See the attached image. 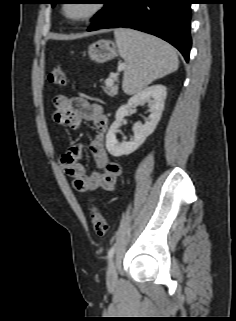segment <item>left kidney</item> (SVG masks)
Segmentation results:
<instances>
[{"label": "left kidney", "instance_id": "1", "mask_svg": "<svg viewBox=\"0 0 236 321\" xmlns=\"http://www.w3.org/2000/svg\"><path fill=\"white\" fill-rule=\"evenodd\" d=\"M166 96L167 91L165 86L153 85L135 94L128 100L127 104L122 105L117 110L115 121L110 126L106 135V148L112 156L119 157L131 154L144 143L145 139L153 133L161 118ZM149 99H152V104L147 121L144 124L134 125V137L129 142L118 143L116 132L121 126L123 118L128 114L131 108L136 107Z\"/></svg>", "mask_w": 236, "mask_h": 321}]
</instances>
